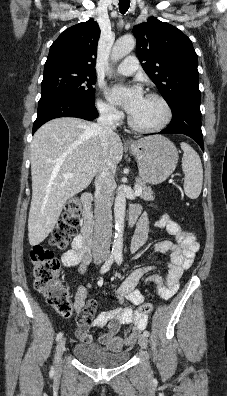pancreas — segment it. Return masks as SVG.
Segmentation results:
<instances>
[{
	"label": "pancreas",
	"mask_w": 227,
	"mask_h": 396,
	"mask_svg": "<svg viewBox=\"0 0 227 396\" xmlns=\"http://www.w3.org/2000/svg\"><path fill=\"white\" fill-rule=\"evenodd\" d=\"M139 189L142 190V194L140 196L141 199L145 201H152L154 200L153 192L150 186H147L145 182L141 180H137L136 185Z\"/></svg>",
	"instance_id": "cf45deb5"
}]
</instances>
